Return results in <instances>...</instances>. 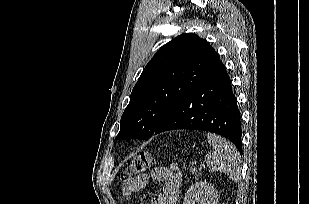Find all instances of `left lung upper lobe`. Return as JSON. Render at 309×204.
Masks as SVG:
<instances>
[{"mask_svg": "<svg viewBox=\"0 0 309 204\" xmlns=\"http://www.w3.org/2000/svg\"><path fill=\"white\" fill-rule=\"evenodd\" d=\"M223 66L204 39L185 33L148 62L130 96L116 139H148L168 112Z\"/></svg>", "mask_w": 309, "mask_h": 204, "instance_id": "obj_1", "label": "left lung upper lobe"}]
</instances>
